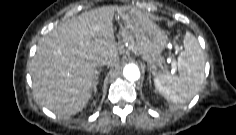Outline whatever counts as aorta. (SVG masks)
Listing matches in <instances>:
<instances>
[{
	"label": "aorta",
	"mask_w": 236,
	"mask_h": 135,
	"mask_svg": "<svg viewBox=\"0 0 236 135\" xmlns=\"http://www.w3.org/2000/svg\"><path fill=\"white\" fill-rule=\"evenodd\" d=\"M140 75V70L135 64H127L123 68V76L130 82L139 80Z\"/></svg>",
	"instance_id": "762f6f07"
}]
</instances>
